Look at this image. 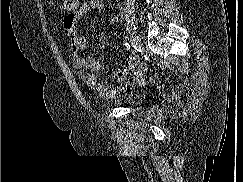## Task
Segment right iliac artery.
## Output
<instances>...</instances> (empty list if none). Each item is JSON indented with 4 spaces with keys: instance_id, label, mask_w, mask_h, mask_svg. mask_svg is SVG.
Here are the masks:
<instances>
[{
    "instance_id": "right-iliac-artery-1",
    "label": "right iliac artery",
    "mask_w": 243,
    "mask_h": 182,
    "mask_svg": "<svg viewBox=\"0 0 243 182\" xmlns=\"http://www.w3.org/2000/svg\"><path fill=\"white\" fill-rule=\"evenodd\" d=\"M124 48H125V50H129L130 49V44L129 43H125L124 44Z\"/></svg>"
}]
</instances>
